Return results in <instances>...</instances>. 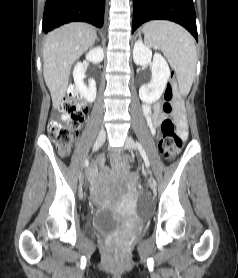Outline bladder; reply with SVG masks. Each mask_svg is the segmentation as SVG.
<instances>
[{
  "label": "bladder",
  "instance_id": "bladder-1",
  "mask_svg": "<svg viewBox=\"0 0 238 278\" xmlns=\"http://www.w3.org/2000/svg\"><path fill=\"white\" fill-rule=\"evenodd\" d=\"M86 229L91 234L108 235L116 229V223L106 212H98L88 216Z\"/></svg>",
  "mask_w": 238,
  "mask_h": 278
}]
</instances>
